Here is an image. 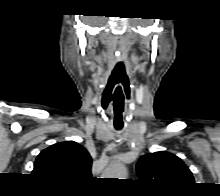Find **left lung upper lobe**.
Wrapping results in <instances>:
<instances>
[{
  "label": "left lung upper lobe",
  "mask_w": 220,
  "mask_h": 196,
  "mask_svg": "<svg viewBox=\"0 0 220 196\" xmlns=\"http://www.w3.org/2000/svg\"><path fill=\"white\" fill-rule=\"evenodd\" d=\"M136 168L142 182L161 191L179 192L194 184L192 173L184 162L164 151L142 156Z\"/></svg>",
  "instance_id": "5c2ea615"
}]
</instances>
